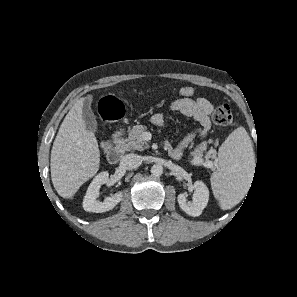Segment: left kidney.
Masks as SVG:
<instances>
[{"mask_svg": "<svg viewBox=\"0 0 297 297\" xmlns=\"http://www.w3.org/2000/svg\"><path fill=\"white\" fill-rule=\"evenodd\" d=\"M194 194L192 202L187 201L185 194H179L177 197L180 208L190 216H199L207 206L209 200V190L202 181L194 183Z\"/></svg>", "mask_w": 297, "mask_h": 297, "instance_id": "5707ae66", "label": "left kidney"}]
</instances>
